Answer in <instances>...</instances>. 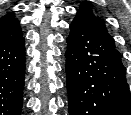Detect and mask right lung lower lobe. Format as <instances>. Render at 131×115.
Wrapping results in <instances>:
<instances>
[{"instance_id": "obj_1", "label": "right lung lower lobe", "mask_w": 131, "mask_h": 115, "mask_svg": "<svg viewBox=\"0 0 131 115\" xmlns=\"http://www.w3.org/2000/svg\"><path fill=\"white\" fill-rule=\"evenodd\" d=\"M25 46L21 35L0 46V115H20L23 106Z\"/></svg>"}]
</instances>
